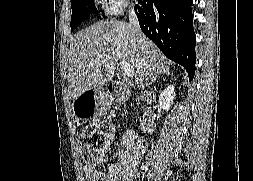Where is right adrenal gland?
Wrapping results in <instances>:
<instances>
[{"label": "right adrenal gland", "mask_w": 253, "mask_h": 181, "mask_svg": "<svg viewBox=\"0 0 253 181\" xmlns=\"http://www.w3.org/2000/svg\"><path fill=\"white\" fill-rule=\"evenodd\" d=\"M163 74L166 75V76L172 75V73L170 71H168V70L164 71Z\"/></svg>", "instance_id": "2a0ac1e0"}]
</instances>
